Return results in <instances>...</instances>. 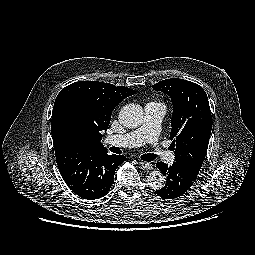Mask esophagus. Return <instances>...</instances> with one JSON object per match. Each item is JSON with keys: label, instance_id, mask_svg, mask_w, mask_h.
<instances>
[{"label": "esophagus", "instance_id": "1", "mask_svg": "<svg viewBox=\"0 0 255 255\" xmlns=\"http://www.w3.org/2000/svg\"><path fill=\"white\" fill-rule=\"evenodd\" d=\"M140 165L146 169V170H152L153 169V164L149 163V162H140Z\"/></svg>", "mask_w": 255, "mask_h": 255}]
</instances>
